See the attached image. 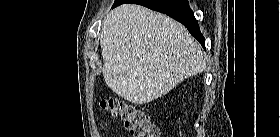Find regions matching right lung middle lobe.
Returning a JSON list of instances; mask_svg holds the SVG:
<instances>
[{"instance_id": "right-lung-middle-lobe-1", "label": "right lung middle lobe", "mask_w": 280, "mask_h": 137, "mask_svg": "<svg viewBox=\"0 0 280 137\" xmlns=\"http://www.w3.org/2000/svg\"><path fill=\"white\" fill-rule=\"evenodd\" d=\"M123 1H124V0H116L112 8H114V7L118 6V5H120Z\"/></svg>"}]
</instances>
